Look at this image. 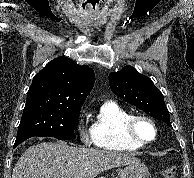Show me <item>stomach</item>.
I'll return each mask as SVG.
<instances>
[{
	"instance_id": "1",
	"label": "stomach",
	"mask_w": 194,
	"mask_h": 178,
	"mask_svg": "<svg viewBox=\"0 0 194 178\" xmlns=\"http://www.w3.org/2000/svg\"><path fill=\"white\" fill-rule=\"evenodd\" d=\"M150 173L147 166L143 163H132L120 171L119 178H149Z\"/></svg>"
}]
</instances>
